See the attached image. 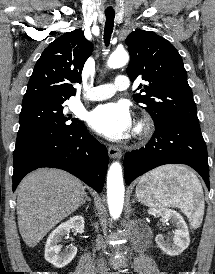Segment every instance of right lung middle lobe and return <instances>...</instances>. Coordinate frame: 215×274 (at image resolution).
<instances>
[{
	"mask_svg": "<svg viewBox=\"0 0 215 274\" xmlns=\"http://www.w3.org/2000/svg\"><path fill=\"white\" fill-rule=\"evenodd\" d=\"M81 122L64 110V102L39 101L22 106L13 160L32 147L76 128Z\"/></svg>",
	"mask_w": 215,
	"mask_h": 274,
	"instance_id": "dd1d6c3e",
	"label": "right lung middle lobe"
}]
</instances>
